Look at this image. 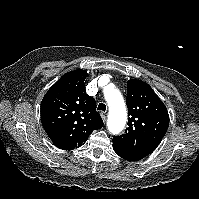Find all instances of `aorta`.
<instances>
[{
	"label": "aorta",
	"mask_w": 199,
	"mask_h": 199,
	"mask_svg": "<svg viewBox=\"0 0 199 199\" xmlns=\"http://www.w3.org/2000/svg\"><path fill=\"white\" fill-rule=\"evenodd\" d=\"M105 99L109 106L107 126L112 134L120 133L127 120V111L121 93L116 89L106 88Z\"/></svg>",
	"instance_id": "obj_1"
}]
</instances>
